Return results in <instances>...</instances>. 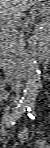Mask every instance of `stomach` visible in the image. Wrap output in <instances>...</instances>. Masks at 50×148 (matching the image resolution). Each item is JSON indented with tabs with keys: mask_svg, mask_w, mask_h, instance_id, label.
<instances>
[{
	"mask_svg": "<svg viewBox=\"0 0 50 148\" xmlns=\"http://www.w3.org/2000/svg\"><path fill=\"white\" fill-rule=\"evenodd\" d=\"M44 4H45L46 8L49 9V7H50V1L49 0H46V1H44Z\"/></svg>",
	"mask_w": 50,
	"mask_h": 148,
	"instance_id": "0dacf381",
	"label": "stomach"
}]
</instances>
